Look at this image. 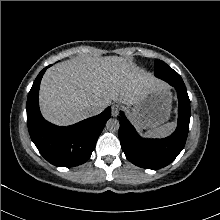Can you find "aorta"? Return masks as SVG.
Segmentation results:
<instances>
[{
  "label": "aorta",
  "instance_id": "obj_1",
  "mask_svg": "<svg viewBox=\"0 0 220 220\" xmlns=\"http://www.w3.org/2000/svg\"><path fill=\"white\" fill-rule=\"evenodd\" d=\"M120 124L117 119L111 118L106 123V128L111 132H116L119 130Z\"/></svg>",
  "mask_w": 220,
  "mask_h": 220
}]
</instances>
